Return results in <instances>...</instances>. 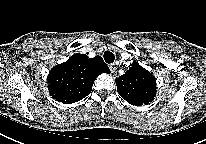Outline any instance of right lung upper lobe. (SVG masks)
Wrapping results in <instances>:
<instances>
[{
  "instance_id": "right-lung-upper-lobe-1",
  "label": "right lung upper lobe",
  "mask_w": 206,
  "mask_h": 144,
  "mask_svg": "<svg viewBox=\"0 0 206 144\" xmlns=\"http://www.w3.org/2000/svg\"><path fill=\"white\" fill-rule=\"evenodd\" d=\"M101 73H110V70L100 56L89 58L76 53L49 72L47 81L50 94L65 104L80 101L90 94L94 80Z\"/></svg>"
}]
</instances>
